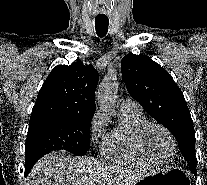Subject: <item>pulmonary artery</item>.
<instances>
[{
    "label": "pulmonary artery",
    "mask_w": 207,
    "mask_h": 185,
    "mask_svg": "<svg viewBox=\"0 0 207 185\" xmlns=\"http://www.w3.org/2000/svg\"><path fill=\"white\" fill-rule=\"evenodd\" d=\"M121 110L130 112H141V107L137 102L133 100L123 99L121 102Z\"/></svg>",
    "instance_id": "1"
}]
</instances>
